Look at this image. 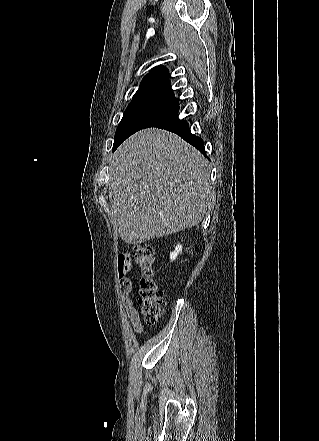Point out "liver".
<instances>
[{
	"label": "liver",
	"instance_id": "obj_1",
	"mask_svg": "<svg viewBox=\"0 0 319 441\" xmlns=\"http://www.w3.org/2000/svg\"><path fill=\"white\" fill-rule=\"evenodd\" d=\"M214 197L208 161L174 133L141 130L114 154L109 200L119 235L128 244L197 225Z\"/></svg>",
	"mask_w": 319,
	"mask_h": 441
}]
</instances>
